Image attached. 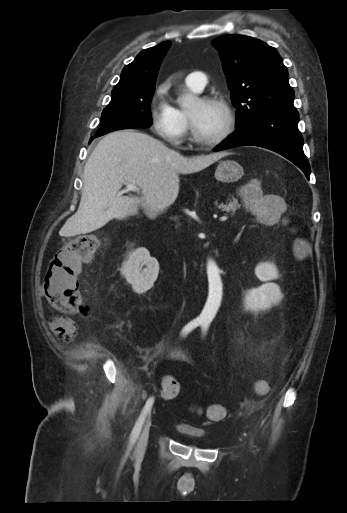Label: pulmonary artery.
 <instances>
[{
  "mask_svg": "<svg viewBox=\"0 0 347 513\" xmlns=\"http://www.w3.org/2000/svg\"><path fill=\"white\" fill-rule=\"evenodd\" d=\"M187 85L194 91H202L207 84V75L201 71H195L187 75Z\"/></svg>",
  "mask_w": 347,
  "mask_h": 513,
  "instance_id": "pulmonary-artery-1",
  "label": "pulmonary artery"
}]
</instances>
